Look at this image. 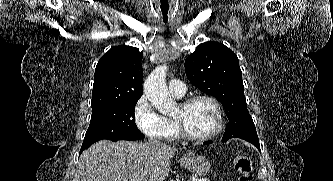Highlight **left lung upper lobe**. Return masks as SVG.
Wrapping results in <instances>:
<instances>
[{
	"mask_svg": "<svg viewBox=\"0 0 333 181\" xmlns=\"http://www.w3.org/2000/svg\"><path fill=\"white\" fill-rule=\"evenodd\" d=\"M189 81L217 98L226 111L229 123L224 135L259 142L244 96L238 57L224 44L205 42L185 61Z\"/></svg>",
	"mask_w": 333,
	"mask_h": 181,
	"instance_id": "obj_1",
	"label": "left lung upper lobe"
}]
</instances>
